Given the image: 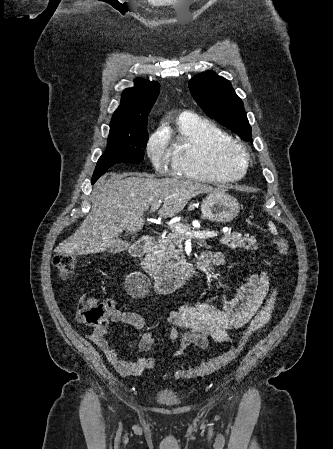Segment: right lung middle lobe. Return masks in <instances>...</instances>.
Returning a JSON list of instances; mask_svg holds the SVG:
<instances>
[{"instance_id":"right-lung-middle-lobe-1","label":"right lung middle lobe","mask_w":333,"mask_h":449,"mask_svg":"<svg viewBox=\"0 0 333 449\" xmlns=\"http://www.w3.org/2000/svg\"><path fill=\"white\" fill-rule=\"evenodd\" d=\"M147 123L141 133L133 137H108L105 153L100 157L92 176L97 180L108 168L117 163L139 164L144 159V149L148 141Z\"/></svg>"}]
</instances>
